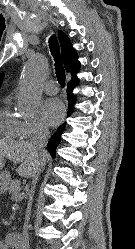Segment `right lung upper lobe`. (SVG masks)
I'll return each mask as SVG.
<instances>
[{
    "label": "right lung upper lobe",
    "mask_w": 135,
    "mask_h": 249,
    "mask_svg": "<svg viewBox=\"0 0 135 249\" xmlns=\"http://www.w3.org/2000/svg\"><path fill=\"white\" fill-rule=\"evenodd\" d=\"M62 59L65 66V69L71 73L72 78H77L76 73L80 69V62L78 61V55L75 49L72 47V43L69 38L61 31H58ZM3 81V74H0V86Z\"/></svg>",
    "instance_id": "obj_1"
}]
</instances>
